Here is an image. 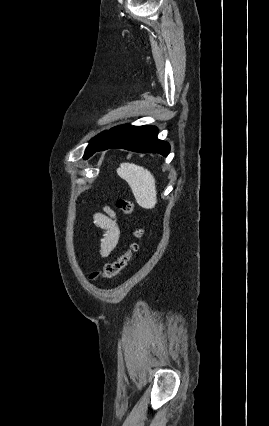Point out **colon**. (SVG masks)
I'll list each match as a JSON object with an SVG mask.
<instances>
[{"mask_svg":"<svg viewBox=\"0 0 269 426\" xmlns=\"http://www.w3.org/2000/svg\"><path fill=\"white\" fill-rule=\"evenodd\" d=\"M116 205L123 215L126 217H131L134 213V205L131 201L120 198L117 200ZM143 235V230L141 228H135L133 230L132 236L133 240L131 241L129 248L122 253L115 261L106 263L102 271L92 272L89 276L90 280L98 281L101 279H112L116 277L131 261L133 255L138 250L137 240Z\"/></svg>","mask_w":269,"mask_h":426,"instance_id":"5ec220e1","label":"colon"}]
</instances>
